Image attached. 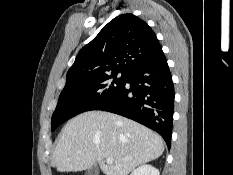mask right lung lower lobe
<instances>
[{
    "label": "right lung lower lobe",
    "mask_w": 233,
    "mask_h": 175,
    "mask_svg": "<svg viewBox=\"0 0 233 175\" xmlns=\"http://www.w3.org/2000/svg\"><path fill=\"white\" fill-rule=\"evenodd\" d=\"M126 83L97 110L116 113L147 126L158 132L170 149L175 92L164 53L131 70Z\"/></svg>",
    "instance_id": "right-lung-lower-lobe-1"
}]
</instances>
